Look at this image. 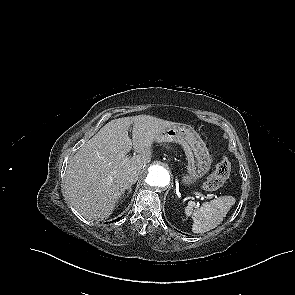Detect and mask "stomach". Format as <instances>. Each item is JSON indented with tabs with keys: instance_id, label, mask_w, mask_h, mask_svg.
Returning <instances> with one entry per match:
<instances>
[{
	"instance_id": "stomach-1",
	"label": "stomach",
	"mask_w": 295,
	"mask_h": 295,
	"mask_svg": "<svg viewBox=\"0 0 295 295\" xmlns=\"http://www.w3.org/2000/svg\"><path fill=\"white\" fill-rule=\"evenodd\" d=\"M158 142H178L182 145L188 165L187 173L182 176L185 186L194 184L203 177L211 168L212 159L204 141L196 131L185 124H176L162 130Z\"/></svg>"
}]
</instances>
